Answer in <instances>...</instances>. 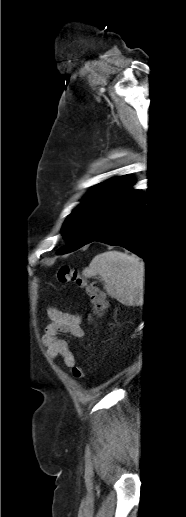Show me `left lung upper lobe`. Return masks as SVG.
Masks as SVG:
<instances>
[{
    "instance_id": "1",
    "label": "left lung upper lobe",
    "mask_w": 186,
    "mask_h": 517,
    "mask_svg": "<svg viewBox=\"0 0 186 517\" xmlns=\"http://www.w3.org/2000/svg\"><path fill=\"white\" fill-rule=\"evenodd\" d=\"M132 184L129 177H115L91 190L64 223L62 235L70 245L63 247L60 254L86 245L99 221L129 191Z\"/></svg>"
}]
</instances>
